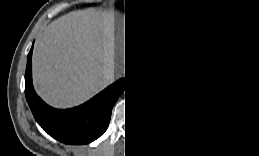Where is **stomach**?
Masks as SVG:
<instances>
[{
  "instance_id": "stomach-1",
  "label": "stomach",
  "mask_w": 259,
  "mask_h": 156,
  "mask_svg": "<svg viewBox=\"0 0 259 156\" xmlns=\"http://www.w3.org/2000/svg\"><path fill=\"white\" fill-rule=\"evenodd\" d=\"M181 75H182V72H181V70H178V73H177V80H179V79H181Z\"/></svg>"
}]
</instances>
